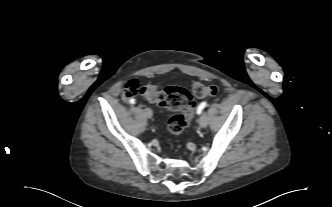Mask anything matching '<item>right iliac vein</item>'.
I'll list each match as a JSON object with an SVG mask.
<instances>
[{
    "label": "right iliac vein",
    "instance_id": "right-iliac-vein-1",
    "mask_svg": "<svg viewBox=\"0 0 332 207\" xmlns=\"http://www.w3.org/2000/svg\"><path fill=\"white\" fill-rule=\"evenodd\" d=\"M144 114H145V116H146L147 118H151L152 115H153L152 110H151L150 108H146V109L144 110Z\"/></svg>",
    "mask_w": 332,
    "mask_h": 207
}]
</instances>
